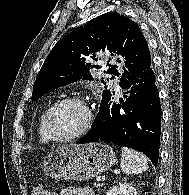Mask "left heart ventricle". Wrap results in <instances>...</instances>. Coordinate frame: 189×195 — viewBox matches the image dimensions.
<instances>
[{"mask_svg": "<svg viewBox=\"0 0 189 195\" xmlns=\"http://www.w3.org/2000/svg\"><path fill=\"white\" fill-rule=\"evenodd\" d=\"M87 113L78 104L61 106L52 117V128L58 136H69L77 133L85 124Z\"/></svg>", "mask_w": 189, "mask_h": 195, "instance_id": "obj_1", "label": "left heart ventricle"}]
</instances>
